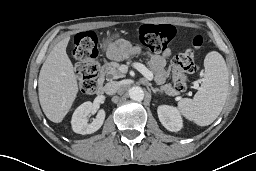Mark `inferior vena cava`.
<instances>
[{
  "mask_svg": "<svg viewBox=\"0 0 256 171\" xmlns=\"http://www.w3.org/2000/svg\"><path fill=\"white\" fill-rule=\"evenodd\" d=\"M119 90V85L117 82H108L105 87L104 91L107 95H114Z\"/></svg>",
  "mask_w": 256,
  "mask_h": 171,
  "instance_id": "inferior-vena-cava-1",
  "label": "inferior vena cava"
}]
</instances>
